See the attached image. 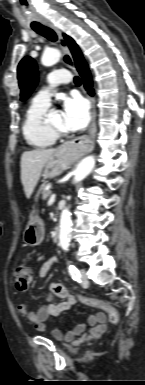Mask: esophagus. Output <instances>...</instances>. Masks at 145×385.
Returning <instances> with one entry per match:
<instances>
[{
    "label": "esophagus",
    "mask_w": 145,
    "mask_h": 385,
    "mask_svg": "<svg viewBox=\"0 0 145 385\" xmlns=\"http://www.w3.org/2000/svg\"><path fill=\"white\" fill-rule=\"evenodd\" d=\"M44 24L51 28L58 37V42L60 45V48L62 50V60L63 62L72 70L76 71L75 64L73 61V58L71 56V53L69 51V48L66 44L65 39L63 38L62 32L59 28H57L53 23L50 21H44ZM84 94L90 98L91 104H92V120L89 127V131L87 135H84L82 137H79L72 142H70L67 146L75 152H78L81 155H85L89 152H91L94 148L95 144V136H96V109H95V98L90 97L86 90H83Z\"/></svg>",
    "instance_id": "esophagus-1"
}]
</instances>
